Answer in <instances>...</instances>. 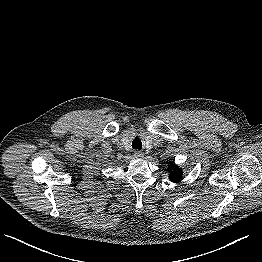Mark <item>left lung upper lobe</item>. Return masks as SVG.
Returning a JSON list of instances; mask_svg holds the SVG:
<instances>
[{
  "label": "left lung upper lobe",
  "mask_w": 262,
  "mask_h": 262,
  "mask_svg": "<svg viewBox=\"0 0 262 262\" xmlns=\"http://www.w3.org/2000/svg\"><path fill=\"white\" fill-rule=\"evenodd\" d=\"M169 168V170L171 171L169 176L170 180H172L173 182L179 181L182 176V171L175 165H170Z\"/></svg>",
  "instance_id": "1"
}]
</instances>
